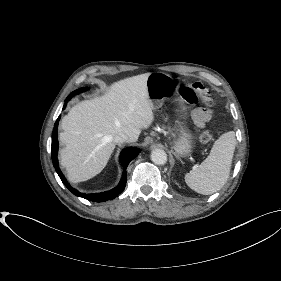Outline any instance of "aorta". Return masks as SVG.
<instances>
[{
    "label": "aorta",
    "mask_w": 281,
    "mask_h": 281,
    "mask_svg": "<svg viewBox=\"0 0 281 281\" xmlns=\"http://www.w3.org/2000/svg\"><path fill=\"white\" fill-rule=\"evenodd\" d=\"M151 160L157 165H164L167 162V154L164 150L155 149L151 152Z\"/></svg>",
    "instance_id": "762f6f07"
}]
</instances>
